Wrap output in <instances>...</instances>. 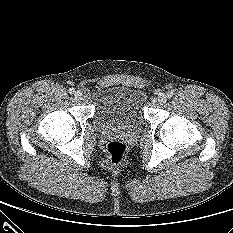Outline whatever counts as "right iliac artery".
I'll return each instance as SVG.
<instances>
[{
	"label": "right iliac artery",
	"mask_w": 233,
	"mask_h": 233,
	"mask_svg": "<svg viewBox=\"0 0 233 233\" xmlns=\"http://www.w3.org/2000/svg\"><path fill=\"white\" fill-rule=\"evenodd\" d=\"M74 92H75V89H74V88H70V89H69V93H70V94H74Z\"/></svg>",
	"instance_id": "1"
}]
</instances>
